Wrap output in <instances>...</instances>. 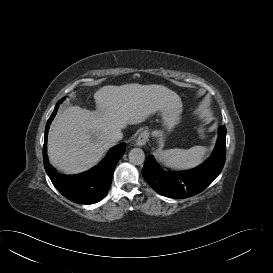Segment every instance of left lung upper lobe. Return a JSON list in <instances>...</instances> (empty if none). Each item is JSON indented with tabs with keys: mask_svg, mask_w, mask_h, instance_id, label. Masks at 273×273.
<instances>
[{
	"mask_svg": "<svg viewBox=\"0 0 273 273\" xmlns=\"http://www.w3.org/2000/svg\"><path fill=\"white\" fill-rule=\"evenodd\" d=\"M221 129H222V126H219V131H221Z\"/></svg>",
	"mask_w": 273,
	"mask_h": 273,
	"instance_id": "5c2ea615",
	"label": "left lung upper lobe"
}]
</instances>
